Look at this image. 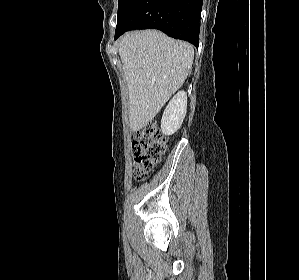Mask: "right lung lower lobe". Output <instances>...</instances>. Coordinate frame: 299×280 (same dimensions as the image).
Here are the masks:
<instances>
[{
    "mask_svg": "<svg viewBox=\"0 0 299 280\" xmlns=\"http://www.w3.org/2000/svg\"><path fill=\"white\" fill-rule=\"evenodd\" d=\"M203 0H124L115 39L134 29H158L198 47Z\"/></svg>",
    "mask_w": 299,
    "mask_h": 280,
    "instance_id": "obj_1",
    "label": "right lung lower lobe"
}]
</instances>
